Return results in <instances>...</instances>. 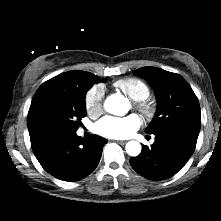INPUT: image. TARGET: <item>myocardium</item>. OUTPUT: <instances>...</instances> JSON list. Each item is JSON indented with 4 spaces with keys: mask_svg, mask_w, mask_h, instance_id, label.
Returning <instances> with one entry per match:
<instances>
[{
    "mask_svg": "<svg viewBox=\"0 0 221 221\" xmlns=\"http://www.w3.org/2000/svg\"><path fill=\"white\" fill-rule=\"evenodd\" d=\"M137 107L146 116H152L155 112L154 105L147 100L138 101Z\"/></svg>",
    "mask_w": 221,
    "mask_h": 221,
    "instance_id": "obj_1",
    "label": "myocardium"
}]
</instances>
